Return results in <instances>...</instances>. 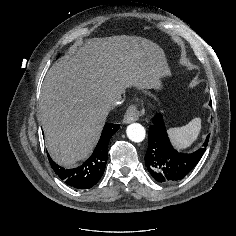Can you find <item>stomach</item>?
<instances>
[{
	"label": "stomach",
	"instance_id": "obj_1",
	"mask_svg": "<svg viewBox=\"0 0 236 236\" xmlns=\"http://www.w3.org/2000/svg\"><path fill=\"white\" fill-rule=\"evenodd\" d=\"M162 86H163V83H162V81L160 80L159 85H158L157 88H155V89H160V88H162Z\"/></svg>",
	"mask_w": 236,
	"mask_h": 236
}]
</instances>
